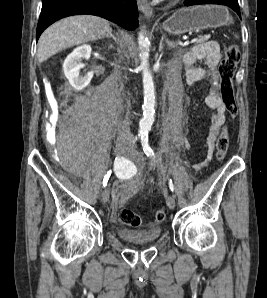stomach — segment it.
Segmentation results:
<instances>
[{
  "mask_svg": "<svg viewBox=\"0 0 267 298\" xmlns=\"http://www.w3.org/2000/svg\"><path fill=\"white\" fill-rule=\"evenodd\" d=\"M231 22L232 18L223 6L196 5L177 10L163 23L162 28L170 34L179 35L207 28H218Z\"/></svg>",
  "mask_w": 267,
  "mask_h": 298,
  "instance_id": "1",
  "label": "stomach"
}]
</instances>
